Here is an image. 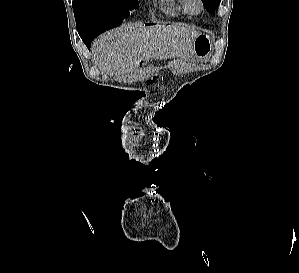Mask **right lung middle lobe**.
Wrapping results in <instances>:
<instances>
[{
    "instance_id": "obj_1",
    "label": "right lung middle lobe",
    "mask_w": 299,
    "mask_h": 273,
    "mask_svg": "<svg viewBox=\"0 0 299 273\" xmlns=\"http://www.w3.org/2000/svg\"><path fill=\"white\" fill-rule=\"evenodd\" d=\"M138 6V0H73L77 30L114 24Z\"/></svg>"
}]
</instances>
